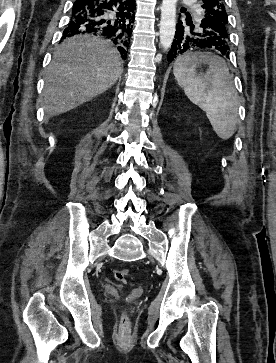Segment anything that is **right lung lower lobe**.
Returning a JSON list of instances; mask_svg holds the SVG:
<instances>
[{
    "label": "right lung lower lobe",
    "mask_w": 276,
    "mask_h": 363,
    "mask_svg": "<svg viewBox=\"0 0 276 363\" xmlns=\"http://www.w3.org/2000/svg\"><path fill=\"white\" fill-rule=\"evenodd\" d=\"M135 7L133 0H76L62 38L85 33L100 35L112 41L125 59Z\"/></svg>",
    "instance_id": "right-lung-lower-lobe-1"
}]
</instances>
